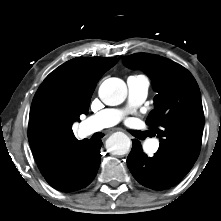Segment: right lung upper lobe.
Returning <instances> with one entry per match:
<instances>
[{"label":"right lung upper lobe","mask_w":221,"mask_h":221,"mask_svg":"<svg viewBox=\"0 0 221 221\" xmlns=\"http://www.w3.org/2000/svg\"><path fill=\"white\" fill-rule=\"evenodd\" d=\"M114 57H77L56 68L43 81L32 101L28 139L43 175L56 173L84 143L72 124L87 114L100 77L117 63Z\"/></svg>","instance_id":"1"}]
</instances>
